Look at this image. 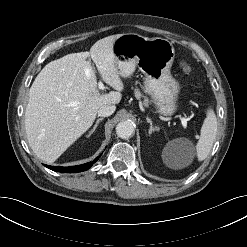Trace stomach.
I'll return each instance as SVG.
<instances>
[{
	"label": "stomach",
	"instance_id": "1",
	"mask_svg": "<svg viewBox=\"0 0 247 247\" xmlns=\"http://www.w3.org/2000/svg\"><path fill=\"white\" fill-rule=\"evenodd\" d=\"M118 73L129 77L136 67L145 75L144 91L158 111L166 116L178 108L180 83L171 75L175 57L173 44L163 38H147L139 34L120 35L113 44Z\"/></svg>",
	"mask_w": 247,
	"mask_h": 247
}]
</instances>
